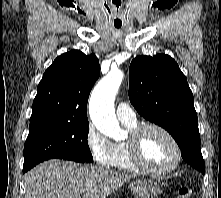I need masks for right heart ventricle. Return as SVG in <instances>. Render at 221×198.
<instances>
[{
	"label": "right heart ventricle",
	"instance_id": "obj_1",
	"mask_svg": "<svg viewBox=\"0 0 221 198\" xmlns=\"http://www.w3.org/2000/svg\"><path fill=\"white\" fill-rule=\"evenodd\" d=\"M124 126L132 131L137 127V123L125 124ZM110 166L116 170L139 172L140 170L133 163L127 141L113 143V153Z\"/></svg>",
	"mask_w": 221,
	"mask_h": 198
}]
</instances>
